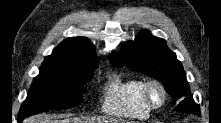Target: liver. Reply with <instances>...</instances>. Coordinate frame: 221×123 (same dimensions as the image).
<instances>
[{
    "mask_svg": "<svg viewBox=\"0 0 221 123\" xmlns=\"http://www.w3.org/2000/svg\"><path fill=\"white\" fill-rule=\"evenodd\" d=\"M88 120H77V119H63V120H58V119H53L49 115H37V116H32L30 118L25 119L23 122L24 123H86ZM107 123H122L121 120H105Z\"/></svg>",
    "mask_w": 221,
    "mask_h": 123,
    "instance_id": "6515ba94",
    "label": "liver"
}]
</instances>
